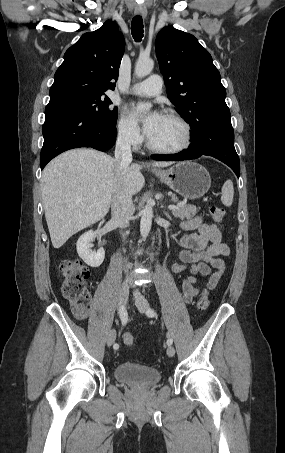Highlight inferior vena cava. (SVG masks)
<instances>
[{
	"label": "inferior vena cava",
	"mask_w": 285,
	"mask_h": 453,
	"mask_svg": "<svg viewBox=\"0 0 285 453\" xmlns=\"http://www.w3.org/2000/svg\"><path fill=\"white\" fill-rule=\"evenodd\" d=\"M131 142L130 135H120L116 141L115 161L122 167H127L132 161ZM133 212L132 195L124 189H116L111 199V222L126 228Z\"/></svg>",
	"instance_id": "602c4592"
}]
</instances>
